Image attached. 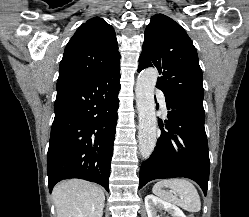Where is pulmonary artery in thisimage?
<instances>
[{
  "instance_id": "e3ab8cb5",
  "label": "pulmonary artery",
  "mask_w": 249,
  "mask_h": 217,
  "mask_svg": "<svg viewBox=\"0 0 249 217\" xmlns=\"http://www.w3.org/2000/svg\"><path fill=\"white\" fill-rule=\"evenodd\" d=\"M157 97L159 99V103L161 107L166 111V102H165V97L163 91L159 90L157 91Z\"/></svg>"
}]
</instances>
